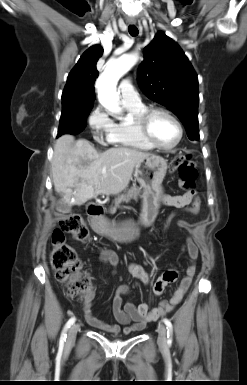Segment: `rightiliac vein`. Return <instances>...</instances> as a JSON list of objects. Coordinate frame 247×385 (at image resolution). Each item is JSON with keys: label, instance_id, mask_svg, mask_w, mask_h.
I'll list each match as a JSON object with an SVG mask.
<instances>
[{"label": "right iliac vein", "instance_id": "right-iliac-vein-1", "mask_svg": "<svg viewBox=\"0 0 247 385\" xmlns=\"http://www.w3.org/2000/svg\"><path fill=\"white\" fill-rule=\"evenodd\" d=\"M78 329H79V324H74L70 327L68 331V338H67L68 342H73L75 340Z\"/></svg>", "mask_w": 247, "mask_h": 385}]
</instances>
